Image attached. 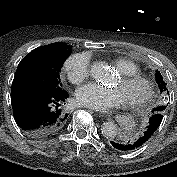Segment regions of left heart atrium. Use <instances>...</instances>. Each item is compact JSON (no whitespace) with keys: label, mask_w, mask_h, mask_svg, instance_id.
Wrapping results in <instances>:
<instances>
[{"label":"left heart atrium","mask_w":177,"mask_h":177,"mask_svg":"<svg viewBox=\"0 0 177 177\" xmlns=\"http://www.w3.org/2000/svg\"><path fill=\"white\" fill-rule=\"evenodd\" d=\"M75 98L80 105L98 111H106L125 102L118 88H107L96 83H89L78 88Z\"/></svg>","instance_id":"left-heart-atrium-1"}]
</instances>
